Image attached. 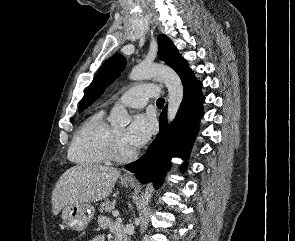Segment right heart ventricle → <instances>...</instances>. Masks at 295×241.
<instances>
[{
  "instance_id": "right-heart-ventricle-1",
  "label": "right heart ventricle",
  "mask_w": 295,
  "mask_h": 241,
  "mask_svg": "<svg viewBox=\"0 0 295 241\" xmlns=\"http://www.w3.org/2000/svg\"><path fill=\"white\" fill-rule=\"evenodd\" d=\"M112 128L104 119V112L98 111L88 117L76 131L68 158L75 164L97 166L109 160L107 147Z\"/></svg>"
}]
</instances>
